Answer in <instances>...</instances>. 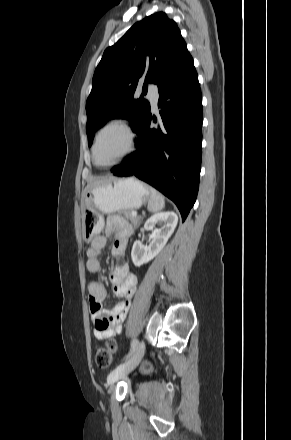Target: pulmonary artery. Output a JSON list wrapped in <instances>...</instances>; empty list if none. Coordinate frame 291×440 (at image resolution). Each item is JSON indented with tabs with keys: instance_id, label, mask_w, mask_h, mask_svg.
<instances>
[{
	"instance_id": "e3ab8cb5",
	"label": "pulmonary artery",
	"mask_w": 291,
	"mask_h": 440,
	"mask_svg": "<svg viewBox=\"0 0 291 440\" xmlns=\"http://www.w3.org/2000/svg\"><path fill=\"white\" fill-rule=\"evenodd\" d=\"M148 98L151 100L153 107H156V102L157 99L159 97V92L156 86L154 85H150L148 86V93H147Z\"/></svg>"
}]
</instances>
